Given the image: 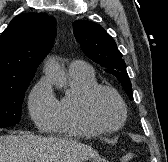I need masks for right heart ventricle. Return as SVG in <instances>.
<instances>
[{
  "label": "right heart ventricle",
  "instance_id": "1",
  "mask_svg": "<svg viewBox=\"0 0 168 162\" xmlns=\"http://www.w3.org/2000/svg\"><path fill=\"white\" fill-rule=\"evenodd\" d=\"M69 75L70 90L58 100V117L51 131L71 137L97 135L100 131L85 121L80 109L81 98L85 91L97 84L95 74L69 72Z\"/></svg>",
  "mask_w": 168,
  "mask_h": 162
}]
</instances>
